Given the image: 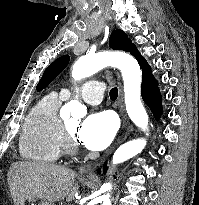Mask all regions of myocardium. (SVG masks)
Returning <instances> with one entry per match:
<instances>
[{"label": "myocardium", "instance_id": "f54148a6", "mask_svg": "<svg viewBox=\"0 0 199 205\" xmlns=\"http://www.w3.org/2000/svg\"><path fill=\"white\" fill-rule=\"evenodd\" d=\"M61 146L67 153H73L76 150L74 135L68 130L66 124L61 127Z\"/></svg>", "mask_w": 199, "mask_h": 205}]
</instances>
